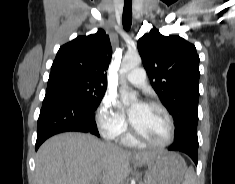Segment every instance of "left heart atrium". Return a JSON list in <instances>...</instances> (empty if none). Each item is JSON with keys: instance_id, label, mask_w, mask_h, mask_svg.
Here are the masks:
<instances>
[{"instance_id": "obj_1", "label": "left heart atrium", "mask_w": 235, "mask_h": 184, "mask_svg": "<svg viewBox=\"0 0 235 184\" xmlns=\"http://www.w3.org/2000/svg\"><path fill=\"white\" fill-rule=\"evenodd\" d=\"M139 105H140V106H143L144 104H143V103H140ZM134 119H135V114H133V113L130 112V120H131L132 123H133Z\"/></svg>"}]
</instances>
